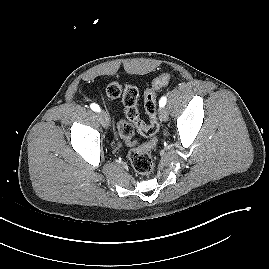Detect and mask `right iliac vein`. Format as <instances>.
<instances>
[{"instance_id":"obj_1","label":"right iliac vein","mask_w":269,"mask_h":269,"mask_svg":"<svg viewBox=\"0 0 269 269\" xmlns=\"http://www.w3.org/2000/svg\"><path fill=\"white\" fill-rule=\"evenodd\" d=\"M98 116H99V119H100L101 124L103 125V127L108 128L109 127V118H108V115L105 112L101 111L98 114Z\"/></svg>"}]
</instances>
